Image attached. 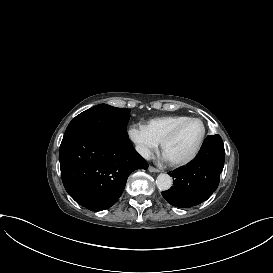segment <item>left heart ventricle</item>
Here are the masks:
<instances>
[{
    "instance_id": "obj_1",
    "label": "left heart ventricle",
    "mask_w": 273,
    "mask_h": 273,
    "mask_svg": "<svg viewBox=\"0 0 273 273\" xmlns=\"http://www.w3.org/2000/svg\"><path fill=\"white\" fill-rule=\"evenodd\" d=\"M203 133V125L194 120L185 124L164 149L168 160L176 161L188 157L195 149Z\"/></svg>"
}]
</instances>
